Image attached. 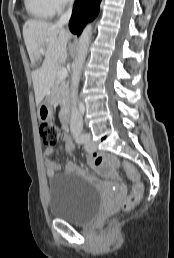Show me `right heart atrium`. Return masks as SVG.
<instances>
[{
    "mask_svg": "<svg viewBox=\"0 0 174 258\" xmlns=\"http://www.w3.org/2000/svg\"><path fill=\"white\" fill-rule=\"evenodd\" d=\"M72 0H49L54 12H59L68 6Z\"/></svg>",
    "mask_w": 174,
    "mask_h": 258,
    "instance_id": "right-heart-atrium-1",
    "label": "right heart atrium"
}]
</instances>
